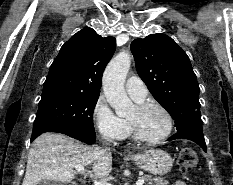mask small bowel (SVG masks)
<instances>
[{"instance_id": "1", "label": "small bowel", "mask_w": 233, "mask_h": 185, "mask_svg": "<svg viewBox=\"0 0 233 185\" xmlns=\"http://www.w3.org/2000/svg\"><path fill=\"white\" fill-rule=\"evenodd\" d=\"M174 185H187V184L183 181H177L174 183Z\"/></svg>"}]
</instances>
